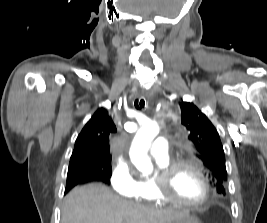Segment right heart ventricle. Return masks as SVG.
Instances as JSON below:
<instances>
[{
    "label": "right heart ventricle",
    "mask_w": 267,
    "mask_h": 223,
    "mask_svg": "<svg viewBox=\"0 0 267 223\" xmlns=\"http://www.w3.org/2000/svg\"><path fill=\"white\" fill-rule=\"evenodd\" d=\"M158 166L161 168L169 163V160L156 159ZM137 200L150 202L154 204H162L163 201L158 197L153 178H139L137 180V186L134 194H132Z\"/></svg>",
    "instance_id": "obj_1"
}]
</instances>
